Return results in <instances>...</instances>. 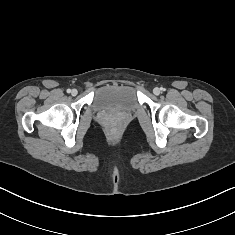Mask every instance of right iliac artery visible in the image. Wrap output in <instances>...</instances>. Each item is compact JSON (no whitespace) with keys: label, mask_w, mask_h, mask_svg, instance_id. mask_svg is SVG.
<instances>
[{"label":"right iliac artery","mask_w":235,"mask_h":235,"mask_svg":"<svg viewBox=\"0 0 235 235\" xmlns=\"http://www.w3.org/2000/svg\"><path fill=\"white\" fill-rule=\"evenodd\" d=\"M71 92V90L70 89H67V93H70Z\"/></svg>","instance_id":"obj_1"}]
</instances>
